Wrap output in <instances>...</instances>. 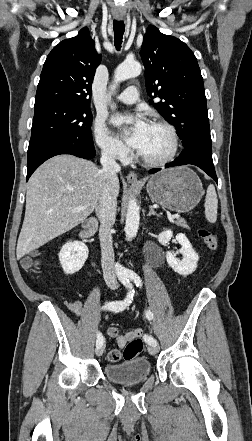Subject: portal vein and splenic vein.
Instances as JSON below:
<instances>
[{"label": "portal vein and splenic vein", "instance_id": "1", "mask_svg": "<svg viewBox=\"0 0 252 441\" xmlns=\"http://www.w3.org/2000/svg\"><path fill=\"white\" fill-rule=\"evenodd\" d=\"M85 209V207L84 206H79V207H77L75 210H77V211H82V210H84ZM180 218V215L179 214H175V215H172L171 216V219L172 220H174V219H179Z\"/></svg>", "mask_w": 252, "mask_h": 441}]
</instances>
